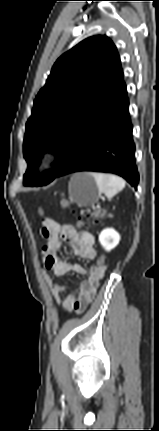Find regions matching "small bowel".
<instances>
[{"label": "small bowel", "mask_w": 159, "mask_h": 431, "mask_svg": "<svg viewBox=\"0 0 159 431\" xmlns=\"http://www.w3.org/2000/svg\"><path fill=\"white\" fill-rule=\"evenodd\" d=\"M42 235L46 243L42 248V257L46 271L50 272L55 278L64 276L68 272L77 274L86 273L85 268L80 264L60 260L58 250L61 248V241L69 243L76 256L92 260L96 257L94 247L95 239L89 232H78L70 224H61L53 219L45 218L42 222ZM106 263H97L88 271V277L79 285L75 286L67 295L63 302L66 311L80 312L95 297L100 281L106 276ZM47 283L50 292L59 297L67 290L65 285L59 284L47 275Z\"/></svg>", "instance_id": "1"}]
</instances>
